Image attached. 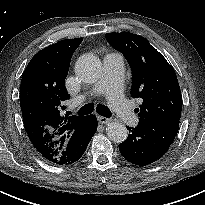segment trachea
Returning a JSON list of instances; mask_svg holds the SVG:
<instances>
[{
    "label": "trachea",
    "instance_id": "1",
    "mask_svg": "<svg viewBox=\"0 0 205 205\" xmlns=\"http://www.w3.org/2000/svg\"><path fill=\"white\" fill-rule=\"evenodd\" d=\"M93 110H94V105L92 103H90V104H86L83 107H81L77 113L79 115L83 116V115H87V114L92 113ZM96 110L100 115H102L104 117H111L112 116V112L106 106L99 104V105H97Z\"/></svg>",
    "mask_w": 205,
    "mask_h": 205
}]
</instances>
